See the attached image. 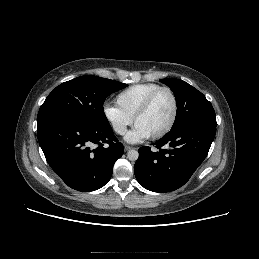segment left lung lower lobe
<instances>
[{
  "mask_svg": "<svg viewBox=\"0 0 259 259\" xmlns=\"http://www.w3.org/2000/svg\"><path fill=\"white\" fill-rule=\"evenodd\" d=\"M216 126L200 121L185 123L155 142L159 150L141 147L134 166L137 181L150 191L162 193L183 186L206 158Z\"/></svg>",
  "mask_w": 259,
  "mask_h": 259,
  "instance_id": "1",
  "label": "left lung lower lobe"
}]
</instances>
